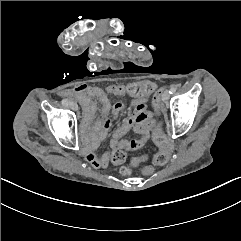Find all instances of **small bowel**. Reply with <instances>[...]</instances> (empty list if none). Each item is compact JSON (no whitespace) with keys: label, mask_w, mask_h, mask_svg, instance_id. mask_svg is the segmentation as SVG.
Instances as JSON below:
<instances>
[{"label":"small bowel","mask_w":241,"mask_h":241,"mask_svg":"<svg viewBox=\"0 0 241 241\" xmlns=\"http://www.w3.org/2000/svg\"><path fill=\"white\" fill-rule=\"evenodd\" d=\"M65 95L75 97L83 104L85 110V128L82 131V136L85 140L89 141L91 147L96 146L109 132L112 122V119L108 117L109 112L111 111L113 117L116 118L126 107V104L122 101H117L112 104L108 96L129 95L132 98L131 106L134 113L113 131L110 150L112 152L120 149L124 152H129L141 149L148 143L151 132L155 128L156 119L154 115L147 110V104L142 100V97L135 98L131 94H126L122 90V85H110L103 90L99 87L83 84L76 86ZM93 99H97L100 102L103 114V119L95 125H92L95 111ZM130 130H133L139 136L132 140L123 139ZM111 152L98 156L92 151H88L85 154V159L95 168H104L107 167L109 163Z\"/></svg>","instance_id":"1"}]
</instances>
